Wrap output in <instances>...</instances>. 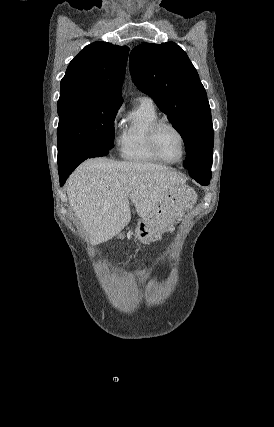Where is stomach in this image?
<instances>
[{
    "label": "stomach",
    "instance_id": "obj_1",
    "mask_svg": "<svg viewBox=\"0 0 274 427\" xmlns=\"http://www.w3.org/2000/svg\"><path fill=\"white\" fill-rule=\"evenodd\" d=\"M184 192L182 202H168V204L167 202H161L148 217L138 219L134 235L137 239H140L141 243L155 241L162 231H166L168 227L175 223V219L178 217L177 214L181 215V210L188 202L189 204H195V192H192L187 186L184 188Z\"/></svg>",
    "mask_w": 274,
    "mask_h": 427
}]
</instances>
